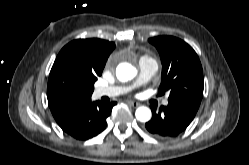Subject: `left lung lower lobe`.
<instances>
[{
    "instance_id": "left-lung-lower-lobe-1",
    "label": "left lung lower lobe",
    "mask_w": 249,
    "mask_h": 165,
    "mask_svg": "<svg viewBox=\"0 0 249 165\" xmlns=\"http://www.w3.org/2000/svg\"><path fill=\"white\" fill-rule=\"evenodd\" d=\"M152 119L145 124L146 129L161 138L175 137L182 133L194 119L197 110L175 102L156 110L151 106Z\"/></svg>"
}]
</instances>
